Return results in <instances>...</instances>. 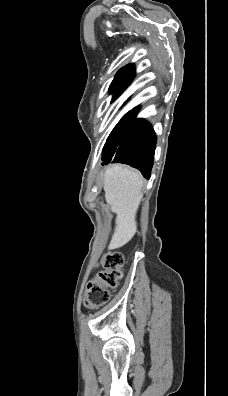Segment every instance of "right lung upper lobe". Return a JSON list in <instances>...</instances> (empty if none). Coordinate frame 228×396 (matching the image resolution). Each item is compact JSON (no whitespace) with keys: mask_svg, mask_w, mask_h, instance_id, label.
<instances>
[{"mask_svg":"<svg viewBox=\"0 0 228 396\" xmlns=\"http://www.w3.org/2000/svg\"><path fill=\"white\" fill-rule=\"evenodd\" d=\"M131 74H134V65L128 64L125 67H123L121 70L118 71L115 78L131 75Z\"/></svg>","mask_w":228,"mask_h":396,"instance_id":"cb5924a9","label":"right lung upper lobe"}]
</instances>
